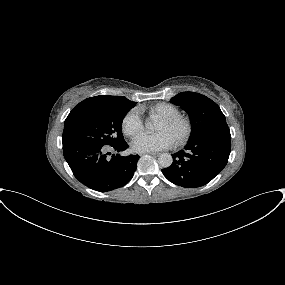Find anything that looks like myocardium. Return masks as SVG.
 <instances>
[{
    "instance_id": "obj_1",
    "label": "myocardium",
    "mask_w": 285,
    "mask_h": 285,
    "mask_svg": "<svg viewBox=\"0 0 285 285\" xmlns=\"http://www.w3.org/2000/svg\"><path fill=\"white\" fill-rule=\"evenodd\" d=\"M161 122L169 126H179L181 128L180 134L174 140L176 146L180 147L185 145L191 138L194 125L192 120L183 114H176L172 116L161 117Z\"/></svg>"
}]
</instances>
